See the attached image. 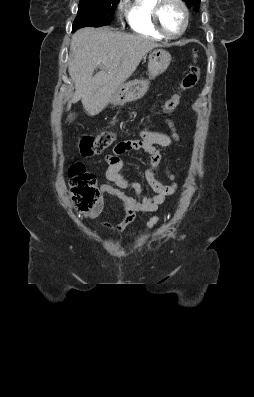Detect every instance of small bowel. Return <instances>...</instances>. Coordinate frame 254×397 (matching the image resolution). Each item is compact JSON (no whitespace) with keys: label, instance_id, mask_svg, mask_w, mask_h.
Masks as SVG:
<instances>
[{"label":"small bowel","instance_id":"obj_1","mask_svg":"<svg viewBox=\"0 0 254 397\" xmlns=\"http://www.w3.org/2000/svg\"><path fill=\"white\" fill-rule=\"evenodd\" d=\"M171 129V134L152 131L148 124L144 125L140 131V139L126 140L116 144L110 154L105 157L108 167L104 173L105 183L100 187L99 198L94 208L84 218L97 217L104 206V196H111L125 212V217L117 224L100 223V226L107 231L120 233L124 231L139 212H155L165 199L172 195L177 188L173 182L163 184L155 177V169L158 167L161 154L156 146L170 147L174 142L179 140L175 126L172 121H167ZM130 151H144L149 155L148 167L144 172V177L155 192V195L148 197L143 194L141 185L137 182L126 180L121 174L123 161L121 155ZM167 175L170 180L175 179V174L167 169ZM125 190L134 192V196L125 194ZM158 217H152L146 223V230H151L158 222Z\"/></svg>","mask_w":254,"mask_h":397}]
</instances>
